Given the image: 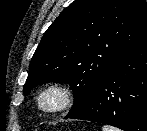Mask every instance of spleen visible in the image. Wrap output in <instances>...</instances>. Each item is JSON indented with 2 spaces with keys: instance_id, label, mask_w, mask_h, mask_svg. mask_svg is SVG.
<instances>
[{
  "instance_id": "1",
  "label": "spleen",
  "mask_w": 147,
  "mask_h": 131,
  "mask_svg": "<svg viewBox=\"0 0 147 131\" xmlns=\"http://www.w3.org/2000/svg\"><path fill=\"white\" fill-rule=\"evenodd\" d=\"M102 131H120L117 128L113 127V126H109V125H104L102 127Z\"/></svg>"
}]
</instances>
